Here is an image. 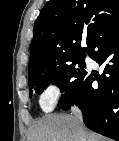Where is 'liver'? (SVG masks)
<instances>
[{
    "label": "liver",
    "instance_id": "liver-1",
    "mask_svg": "<svg viewBox=\"0 0 119 141\" xmlns=\"http://www.w3.org/2000/svg\"><path fill=\"white\" fill-rule=\"evenodd\" d=\"M29 141H107L88 131L74 115H48L31 129Z\"/></svg>",
    "mask_w": 119,
    "mask_h": 141
}]
</instances>
